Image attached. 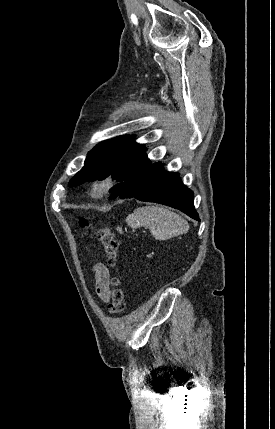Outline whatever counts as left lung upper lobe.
I'll list each match as a JSON object with an SVG mask.
<instances>
[{
	"label": "left lung upper lobe",
	"mask_w": 275,
	"mask_h": 429,
	"mask_svg": "<svg viewBox=\"0 0 275 429\" xmlns=\"http://www.w3.org/2000/svg\"><path fill=\"white\" fill-rule=\"evenodd\" d=\"M146 148L136 143L133 136H119L95 146L87 155L84 167L70 180L68 186L85 181L103 180L112 176L122 183L121 194L151 165Z\"/></svg>",
	"instance_id": "obj_1"
}]
</instances>
